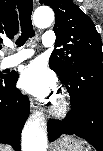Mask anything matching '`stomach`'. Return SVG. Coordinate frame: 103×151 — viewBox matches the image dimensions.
<instances>
[{"mask_svg": "<svg viewBox=\"0 0 103 151\" xmlns=\"http://www.w3.org/2000/svg\"><path fill=\"white\" fill-rule=\"evenodd\" d=\"M52 151H84L82 142L72 136H62L53 145Z\"/></svg>", "mask_w": 103, "mask_h": 151, "instance_id": "1", "label": "stomach"}]
</instances>
